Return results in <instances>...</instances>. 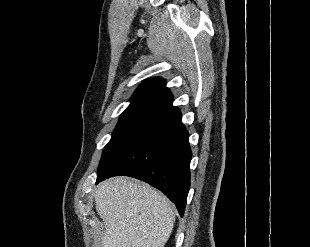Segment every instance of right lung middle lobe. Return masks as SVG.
Listing matches in <instances>:
<instances>
[{
	"label": "right lung middle lobe",
	"instance_id": "obj_1",
	"mask_svg": "<svg viewBox=\"0 0 310 247\" xmlns=\"http://www.w3.org/2000/svg\"><path fill=\"white\" fill-rule=\"evenodd\" d=\"M157 113L149 109H127L120 118L112 134L111 140L103 150L99 168L107 164L110 159L125 145V143Z\"/></svg>",
	"mask_w": 310,
	"mask_h": 247
}]
</instances>
